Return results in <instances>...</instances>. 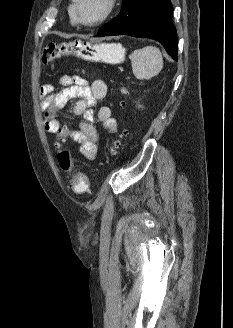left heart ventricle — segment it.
I'll return each instance as SVG.
<instances>
[{
  "label": "left heart ventricle",
  "mask_w": 233,
  "mask_h": 328,
  "mask_svg": "<svg viewBox=\"0 0 233 328\" xmlns=\"http://www.w3.org/2000/svg\"><path fill=\"white\" fill-rule=\"evenodd\" d=\"M106 8V0H80L79 10L83 20L91 22L98 19Z\"/></svg>",
  "instance_id": "b2bd125f"
}]
</instances>
